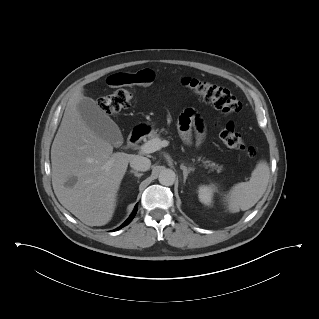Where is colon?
Returning <instances> with one entry per match:
<instances>
[{
  "mask_svg": "<svg viewBox=\"0 0 319 319\" xmlns=\"http://www.w3.org/2000/svg\"><path fill=\"white\" fill-rule=\"evenodd\" d=\"M108 81L110 85L116 86L117 90L102 97L100 105L106 113L111 115H117L127 110L135 89L144 85L143 81L135 75L115 74ZM181 83L193 93L203 98L206 103L212 104L224 114H234L241 109L240 101L227 88L193 78H184ZM219 138L228 147L239 150L248 157L252 158L256 154L255 149L247 145L235 131L234 125L231 122L221 127Z\"/></svg>",
  "mask_w": 319,
  "mask_h": 319,
  "instance_id": "colon-1",
  "label": "colon"
}]
</instances>
